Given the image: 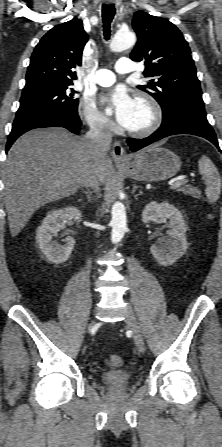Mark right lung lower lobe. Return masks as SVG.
Returning <instances> with one entry per match:
<instances>
[{
    "instance_id": "1",
    "label": "right lung lower lobe",
    "mask_w": 222,
    "mask_h": 447,
    "mask_svg": "<svg viewBox=\"0 0 222 447\" xmlns=\"http://www.w3.org/2000/svg\"><path fill=\"white\" fill-rule=\"evenodd\" d=\"M53 126L64 127L73 133H77L80 130L81 121L77 111H62L42 118L13 125L7 141L6 152L9 150L14 141L23 133L35 128Z\"/></svg>"
}]
</instances>
